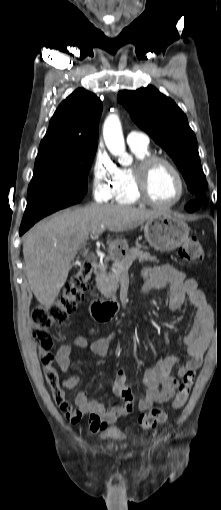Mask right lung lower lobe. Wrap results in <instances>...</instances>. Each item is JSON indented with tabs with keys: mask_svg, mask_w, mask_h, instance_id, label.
<instances>
[{
	"mask_svg": "<svg viewBox=\"0 0 221 510\" xmlns=\"http://www.w3.org/2000/svg\"><path fill=\"white\" fill-rule=\"evenodd\" d=\"M59 209H49L42 204H31L26 207L24 217L20 226L19 235H22L25 231H27L32 225L35 224L41 218L57 211Z\"/></svg>",
	"mask_w": 221,
	"mask_h": 510,
	"instance_id": "obj_1",
	"label": "right lung lower lobe"
}]
</instances>
